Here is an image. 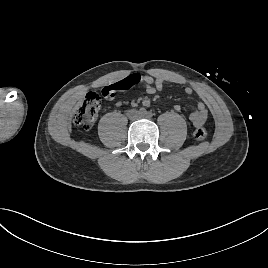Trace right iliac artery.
Here are the masks:
<instances>
[{"mask_svg":"<svg viewBox=\"0 0 268 268\" xmlns=\"http://www.w3.org/2000/svg\"><path fill=\"white\" fill-rule=\"evenodd\" d=\"M139 114H142V115L147 114L146 109H145V108H143V107H141V108L139 109Z\"/></svg>","mask_w":268,"mask_h":268,"instance_id":"1","label":"right iliac artery"}]
</instances>
